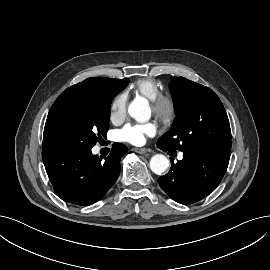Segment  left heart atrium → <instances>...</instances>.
<instances>
[{
  "label": "left heart atrium",
  "mask_w": 270,
  "mask_h": 270,
  "mask_svg": "<svg viewBox=\"0 0 270 270\" xmlns=\"http://www.w3.org/2000/svg\"><path fill=\"white\" fill-rule=\"evenodd\" d=\"M157 132V124L155 122H147L141 124L126 125L120 131L122 140L134 145H141L145 141L146 136H153Z\"/></svg>",
  "instance_id": "39dd6f15"
}]
</instances>
